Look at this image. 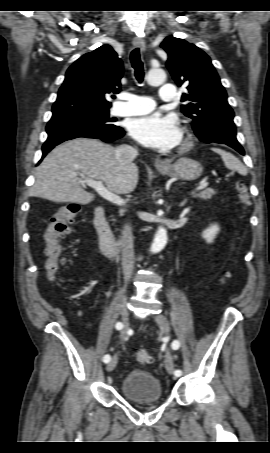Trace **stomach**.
Instances as JSON below:
<instances>
[{"instance_id": "obj_1", "label": "stomach", "mask_w": 270, "mask_h": 453, "mask_svg": "<svg viewBox=\"0 0 270 453\" xmlns=\"http://www.w3.org/2000/svg\"><path fill=\"white\" fill-rule=\"evenodd\" d=\"M158 171L163 175L192 181L202 175L203 167L193 159L180 158L173 164H169L166 168H158Z\"/></svg>"}]
</instances>
